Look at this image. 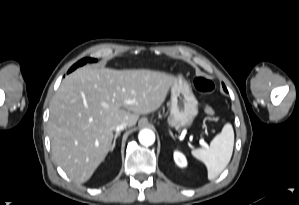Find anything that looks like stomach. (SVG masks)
<instances>
[{
  "mask_svg": "<svg viewBox=\"0 0 299 205\" xmlns=\"http://www.w3.org/2000/svg\"><path fill=\"white\" fill-rule=\"evenodd\" d=\"M170 102L169 126L190 127L198 114V101L189 84L180 77L171 87Z\"/></svg>",
  "mask_w": 299,
  "mask_h": 205,
  "instance_id": "1",
  "label": "stomach"
}]
</instances>
